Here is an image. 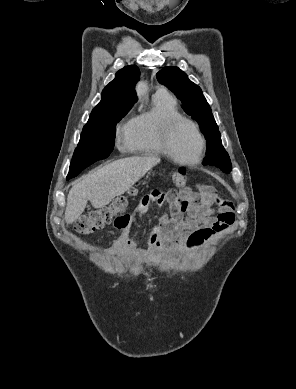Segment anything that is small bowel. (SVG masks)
<instances>
[{"label": "small bowel", "mask_w": 296, "mask_h": 389, "mask_svg": "<svg viewBox=\"0 0 296 389\" xmlns=\"http://www.w3.org/2000/svg\"><path fill=\"white\" fill-rule=\"evenodd\" d=\"M155 203L168 207V213L159 219L149 234V242L156 249H196L235 222L232 203L218 197L212 189L200 193L155 190L142 198L127 216L125 224L116 226L120 229V236L109 248L110 254L120 255L132 247L134 226Z\"/></svg>", "instance_id": "1"}]
</instances>
